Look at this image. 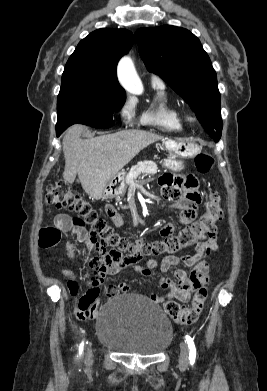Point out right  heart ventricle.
Returning a JSON list of instances; mask_svg holds the SVG:
<instances>
[{
  "label": "right heart ventricle",
  "instance_id": "1",
  "mask_svg": "<svg viewBox=\"0 0 267 391\" xmlns=\"http://www.w3.org/2000/svg\"><path fill=\"white\" fill-rule=\"evenodd\" d=\"M140 121L144 125L160 127L167 131H182L185 120L180 111L172 105L162 88L156 87V94L142 113Z\"/></svg>",
  "mask_w": 267,
  "mask_h": 391
}]
</instances>
